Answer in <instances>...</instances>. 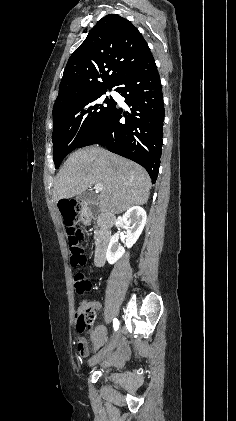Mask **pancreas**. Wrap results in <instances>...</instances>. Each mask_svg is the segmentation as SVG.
Segmentation results:
<instances>
[{"label":"pancreas","instance_id":"cf45deb5","mask_svg":"<svg viewBox=\"0 0 236 421\" xmlns=\"http://www.w3.org/2000/svg\"><path fill=\"white\" fill-rule=\"evenodd\" d=\"M102 227H103V223H102L101 219H99V221H97V225H96V231H95V235H94L95 239H97L98 235H100Z\"/></svg>","mask_w":236,"mask_h":421}]
</instances>
